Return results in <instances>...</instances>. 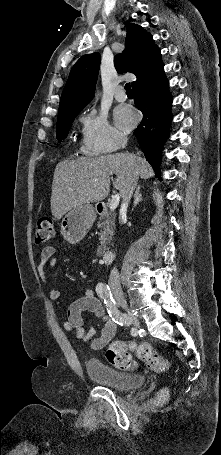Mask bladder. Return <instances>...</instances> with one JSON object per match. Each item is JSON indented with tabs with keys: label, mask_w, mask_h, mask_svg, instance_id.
Returning <instances> with one entry per match:
<instances>
[{
	"label": "bladder",
	"mask_w": 221,
	"mask_h": 455,
	"mask_svg": "<svg viewBox=\"0 0 221 455\" xmlns=\"http://www.w3.org/2000/svg\"><path fill=\"white\" fill-rule=\"evenodd\" d=\"M85 369L91 379L118 391L140 388L144 381L139 374L118 371L96 359H88Z\"/></svg>",
	"instance_id": "obj_1"
}]
</instances>
